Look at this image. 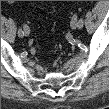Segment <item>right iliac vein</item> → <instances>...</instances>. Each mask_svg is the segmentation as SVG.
<instances>
[{
    "label": "right iliac vein",
    "mask_w": 109,
    "mask_h": 109,
    "mask_svg": "<svg viewBox=\"0 0 109 109\" xmlns=\"http://www.w3.org/2000/svg\"><path fill=\"white\" fill-rule=\"evenodd\" d=\"M23 32L25 36H28L30 33L29 27L26 24L23 26Z\"/></svg>",
    "instance_id": "63e3f726"
}]
</instances>
